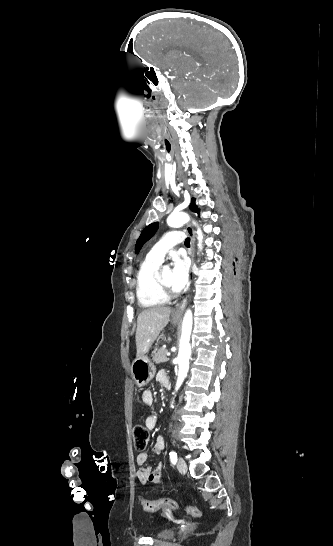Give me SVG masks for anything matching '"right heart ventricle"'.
Instances as JSON below:
<instances>
[{
  "label": "right heart ventricle",
  "mask_w": 333,
  "mask_h": 546,
  "mask_svg": "<svg viewBox=\"0 0 333 546\" xmlns=\"http://www.w3.org/2000/svg\"><path fill=\"white\" fill-rule=\"evenodd\" d=\"M161 263L149 259L142 262L137 274L136 295L139 304L145 308H152L165 304L168 299L158 290L156 276Z\"/></svg>",
  "instance_id": "e07e8e85"
}]
</instances>
